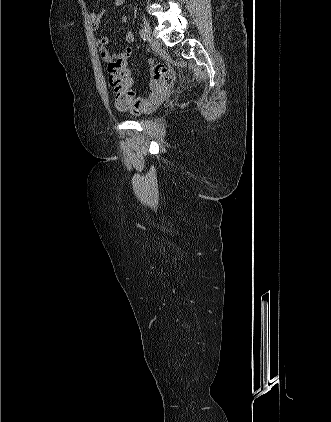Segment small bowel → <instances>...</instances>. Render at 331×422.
I'll return each mask as SVG.
<instances>
[{
    "label": "small bowel",
    "mask_w": 331,
    "mask_h": 422,
    "mask_svg": "<svg viewBox=\"0 0 331 422\" xmlns=\"http://www.w3.org/2000/svg\"><path fill=\"white\" fill-rule=\"evenodd\" d=\"M125 0H114V5L116 7L123 5ZM105 14V10H101L99 12H90L89 13V21L91 26L93 27L95 32H98L100 21L103 15ZM127 16H121V22H127ZM125 42L131 44L134 41V33L131 30H127L124 34ZM109 42V38L107 36H99L98 37V45H99V52L102 60L106 63H111L114 61H121L124 64H127L129 58L132 55L133 48L129 45L127 46L122 52L119 53H111L107 49V44Z\"/></svg>",
    "instance_id": "small-bowel-1"
}]
</instances>
